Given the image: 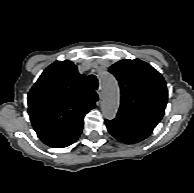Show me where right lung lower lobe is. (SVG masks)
Listing matches in <instances>:
<instances>
[{
    "label": "right lung lower lobe",
    "instance_id": "obj_1",
    "mask_svg": "<svg viewBox=\"0 0 194 193\" xmlns=\"http://www.w3.org/2000/svg\"><path fill=\"white\" fill-rule=\"evenodd\" d=\"M83 121L77 123L69 130L62 132L60 134L46 137L41 139L46 145L55 147V148H63L69 146L73 142L77 140L82 132Z\"/></svg>",
    "mask_w": 194,
    "mask_h": 193
}]
</instances>
